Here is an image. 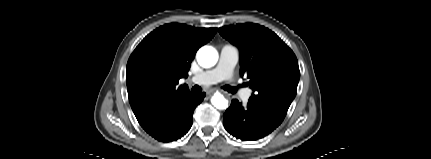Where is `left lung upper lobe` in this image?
<instances>
[{
	"label": "left lung upper lobe",
	"instance_id": "1",
	"mask_svg": "<svg viewBox=\"0 0 431 159\" xmlns=\"http://www.w3.org/2000/svg\"><path fill=\"white\" fill-rule=\"evenodd\" d=\"M219 33L240 50L241 76L255 92L249 101L287 113L300 78L293 51L274 32L254 23L224 26Z\"/></svg>",
	"mask_w": 431,
	"mask_h": 159
}]
</instances>
